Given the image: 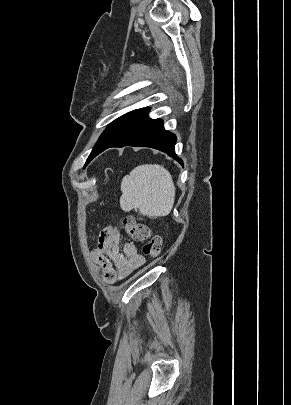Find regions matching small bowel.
Returning <instances> with one entry per match:
<instances>
[{
    "label": "small bowel",
    "mask_w": 291,
    "mask_h": 405,
    "mask_svg": "<svg viewBox=\"0 0 291 405\" xmlns=\"http://www.w3.org/2000/svg\"><path fill=\"white\" fill-rule=\"evenodd\" d=\"M121 234L112 226L104 228L98 240V245L92 252L94 262L100 267L103 279L113 284L130 275L145 263L133 243H125L122 247Z\"/></svg>",
    "instance_id": "small-bowel-1"
}]
</instances>
